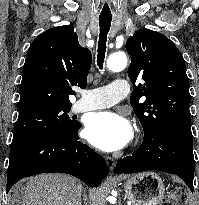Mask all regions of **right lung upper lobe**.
<instances>
[{
	"mask_svg": "<svg viewBox=\"0 0 199 205\" xmlns=\"http://www.w3.org/2000/svg\"><path fill=\"white\" fill-rule=\"evenodd\" d=\"M91 63V52L80 46L73 25L40 34L30 45L23 67L19 113L72 105L71 85L86 87Z\"/></svg>",
	"mask_w": 199,
	"mask_h": 205,
	"instance_id": "right-lung-upper-lobe-1",
	"label": "right lung upper lobe"
}]
</instances>
